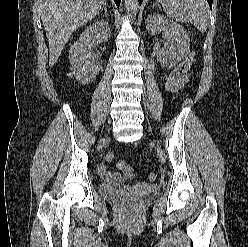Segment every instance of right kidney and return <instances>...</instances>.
Returning <instances> with one entry per match:
<instances>
[{
	"label": "right kidney",
	"instance_id": "ca27d5eb",
	"mask_svg": "<svg viewBox=\"0 0 248 247\" xmlns=\"http://www.w3.org/2000/svg\"><path fill=\"white\" fill-rule=\"evenodd\" d=\"M110 37L108 22L99 20L90 25L70 47L69 60L74 67L75 77L82 84L92 82L98 72L99 63L91 50L96 41H107Z\"/></svg>",
	"mask_w": 248,
	"mask_h": 247
}]
</instances>
